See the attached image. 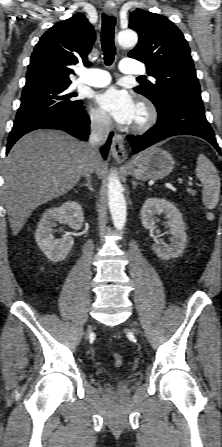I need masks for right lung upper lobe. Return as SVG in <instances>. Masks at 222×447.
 <instances>
[{
    "mask_svg": "<svg viewBox=\"0 0 222 447\" xmlns=\"http://www.w3.org/2000/svg\"><path fill=\"white\" fill-rule=\"evenodd\" d=\"M94 41V29L83 14L56 23L43 34L31 55L24 90L70 85L71 66L80 61L91 64L87 58Z\"/></svg>",
    "mask_w": 222,
    "mask_h": 447,
    "instance_id": "right-lung-upper-lobe-1",
    "label": "right lung upper lobe"
}]
</instances>
